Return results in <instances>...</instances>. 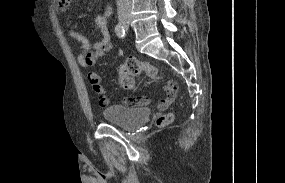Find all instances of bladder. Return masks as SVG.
<instances>
[{
	"label": "bladder",
	"mask_w": 285,
	"mask_h": 183,
	"mask_svg": "<svg viewBox=\"0 0 285 183\" xmlns=\"http://www.w3.org/2000/svg\"><path fill=\"white\" fill-rule=\"evenodd\" d=\"M149 115L150 109L146 106L131 107L124 104H113L103 111L106 121L127 128L140 125Z\"/></svg>",
	"instance_id": "1"
}]
</instances>
